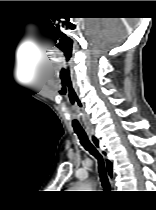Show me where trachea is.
<instances>
[{
    "label": "trachea",
    "mask_w": 156,
    "mask_h": 210,
    "mask_svg": "<svg viewBox=\"0 0 156 210\" xmlns=\"http://www.w3.org/2000/svg\"><path fill=\"white\" fill-rule=\"evenodd\" d=\"M76 134L78 135L82 146L98 160L99 176H100V180L102 182L103 187H105V188L109 187V181H108L107 172H106V168L104 166V160L102 158V155L90 143V141L88 140V137L84 131H76Z\"/></svg>",
    "instance_id": "trachea-1"
}]
</instances>
